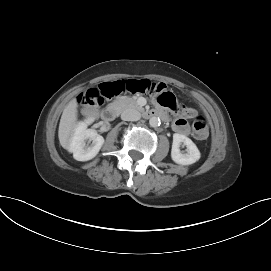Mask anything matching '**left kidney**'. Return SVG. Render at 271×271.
<instances>
[{
    "instance_id": "5707ae66",
    "label": "left kidney",
    "mask_w": 271,
    "mask_h": 271,
    "mask_svg": "<svg viewBox=\"0 0 271 271\" xmlns=\"http://www.w3.org/2000/svg\"><path fill=\"white\" fill-rule=\"evenodd\" d=\"M181 144L186 146L187 153H182L180 151ZM200 156V151L190 138L178 133L173 135L171 158L175 163L180 165H191L198 161Z\"/></svg>"
}]
</instances>
